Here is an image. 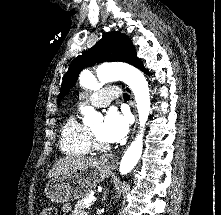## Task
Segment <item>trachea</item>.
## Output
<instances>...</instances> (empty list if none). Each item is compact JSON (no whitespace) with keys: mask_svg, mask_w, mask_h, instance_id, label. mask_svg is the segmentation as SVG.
Listing matches in <instances>:
<instances>
[{"mask_svg":"<svg viewBox=\"0 0 221 215\" xmlns=\"http://www.w3.org/2000/svg\"><path fill=\"white\" fill-rule=\"evenodd\" d=\"M123 98H124V100H130V96L127 94V93H124L123 94Z\"/></svg>","mask_w":221,"mask_h":215,"instance_id":"trachea-1","label":"trachea"}]
</instances>
